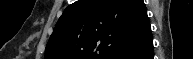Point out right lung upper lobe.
<instances>
[{
    "label": "right lung upper lobe",
    "mask_w": 193,
    "mask_h": 59,
    "mask_svg": "<svg viewBox=\"0 0 193 59\" xmlns=\"http://www.w3.org/2000/svg\"><path fill=\"white\" fill-rule=\"evenodd\" d=\"M150 33L143 0H78L59 18L45 59H114Z\"/></svg>",
    "instance_id": "cb5924a9"
}]
</instances>
